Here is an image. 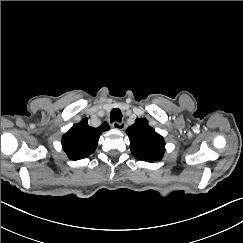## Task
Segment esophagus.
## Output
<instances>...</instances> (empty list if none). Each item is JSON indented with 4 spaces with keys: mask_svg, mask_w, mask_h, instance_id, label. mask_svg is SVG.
Here are the masks:
<instances>
[{
    "mask_svg": "<svg viewBox=\"0 0 243 243\" xmlns=\"http://www.w3.org/2000/svg\"><path fill=\"white\" fill-rule=\"evenodd\" d=\"M125 123L124 122H113L112 123V127L114 128V129H118V130H124L125 129Z\"/></svg>",
    "mask_w": 243,
    "mask_h": 243,
    "instance_id": "1",
    "label": "esophagus"
}]
</instances>
